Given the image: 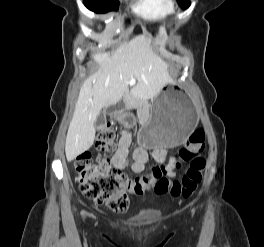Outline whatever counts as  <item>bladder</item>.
Instances as JSON below:
<instances>
[{"label": "bladder", "instance_id": "obj_1", "mask_svg": "<svg viewBox=\"0 0 264 247\" xmlns=\"http://www.w3.org/2000/svg\"><path fill=\"white\" fill-rule=\"evenodd\" d=\"M159 216V212L154 209H144L136 215V219L139 221H151Z\"/></svg>", "mask_w": 264, "mask_h": 247}]
</instances>
